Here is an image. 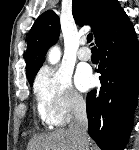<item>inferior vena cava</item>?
Here are the masks:
<instances>
[{"mask_svg": "<svg viewBox=\"0 0 139 150\" xmlns=\"http://www.w3.org/2000/svg\"><path fill=\"white\" fill-rule=\"evenodd\" d=\"M73 118L69 125V130L72 132L77 144V150H89L87 128L88 120L86 114V104L79 97L73 98Z\"/></svg>", "mask_w": 139, "mask_h": 150, "instance_id": "1", "label": "inferior vena cava"}]
</instances>
